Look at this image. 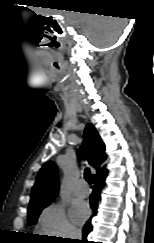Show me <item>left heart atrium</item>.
<instances>
[{
    "instance_id": "39dd6f15",
    "label": "left heart atrium",
    "mask_w": 154,
    "mask_h": 243,
    "mask_svg": "<svg viewBox=\"0 0 154 243\" xmlns=\"http://www.w3.org/2000/svg\"><path fill=\"white\" fill-rule=\"evenodd\" d=\"M70 214L75 223H81L89 215V208L86 203H77L72 207Z\"/></svg>"
}]
</instances>
